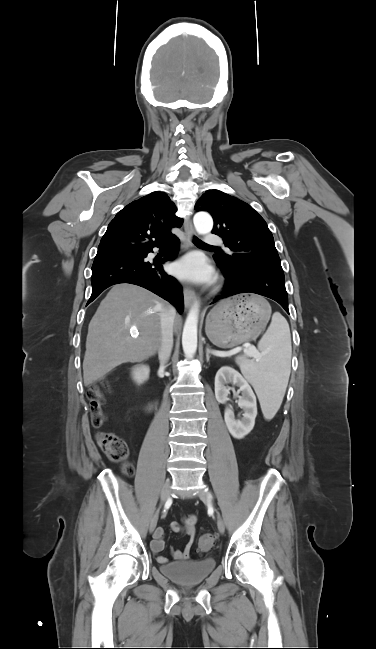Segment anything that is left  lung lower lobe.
Segmentation results:
<instances>
[{"label": "left lung lower lobe", "instance_id": "obj_1", "mask_svg": "<svg viewBox=\"0 0 376 649\" xmlns=\"http://www.w3.org/2000/svg\"><path fill=\"white\" fill-rule=\"evenodd\" d=\"M217 264L226 281L222 295L212 303L240 293H255L275 300L289 314L284 277L257 266H245L236 272L230 267Z\"/></svg>", "mask_w": 376, "mask_h": 649}]
</instances>
